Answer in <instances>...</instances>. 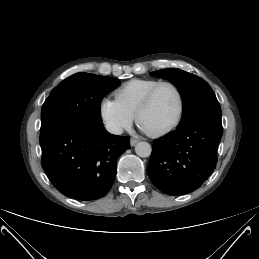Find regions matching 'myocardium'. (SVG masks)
<instances>
[{
  "label": "myocardium",
  "mask_w": 259,
  "mask_h": 259,
  "mask_svg": "<svg viewBox=\"0 0 259 259\" xmlns=\"http://www.w3.org/2000/svg\"><path fill=\"white\" fill-rule=\"evenodd\" d=\"M162 86L171 87L177 94L178 102H179L178 113H177L176 118L167 127L163 128L161 130H158V131H153V132L147 131L142 127L141 119H142L143 114L150 107L157 90L159 88H161ZM184 111H185V100H184V96H183L181 89L175 83H173L171 81H160L156 85H154L143 98V100L138 108V111L136 113V122H137L138 126L143 128L149 136L161 137V136H164V135L172 132L175 128H177V126L180 124V122L183 118Z\"/></svg>",
  "instance_id": "f54148a6"
}]
</instances>
